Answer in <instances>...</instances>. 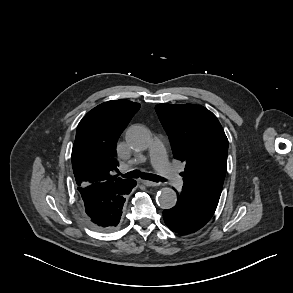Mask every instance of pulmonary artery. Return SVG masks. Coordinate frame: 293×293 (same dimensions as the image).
Returning a JSON list of instances; mask_svg holds the SVG:
<instances>
[{
    "instance_id": "1",
    "label": "pulmonary artery",
    "mask_w": 293,
    "mask_h": 293,
    "mask_svg": "<svg viewBox=\"0 0 293 293\" xmlns=\"http://www.w3.org/2000/svg\"><path fill=\"white\" fill-rule=\"evenodd\" d=\"M149 153L151 160L153 162V165L159 172V174L170 181L171 184L174 186L181 188L182 186V180L178 176L175 169L172 167V165L168 162L166 151L164 144L162 140L158 137H156L153 142L150 145ZM121 171H126L129 169L128 165H122Z\"/></svg>"
}]
</instances>
